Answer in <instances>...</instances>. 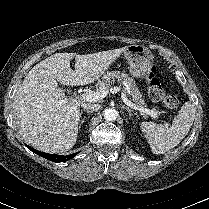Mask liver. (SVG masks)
I'll use <instances>...</instances> for the list:
<instances>
[{"label": "liver", "instance_id": "6515ba94", "mask_svg": "<svg viewBox=\"0 0 209 209\" xmlns=\"http://www.w3.org/2000/svg\"><path fill=\"white\" fill-rule=\"evenodd\" d=\"M126 48L86 55L56 53L36 64L13 99L14 123L24 141L49 153L71 149L77 140L82 102L66 98L57 81L71 86L94 83Z\"/></svg>", "mask_w": 209, "mask_h": 209}]
</instances>
